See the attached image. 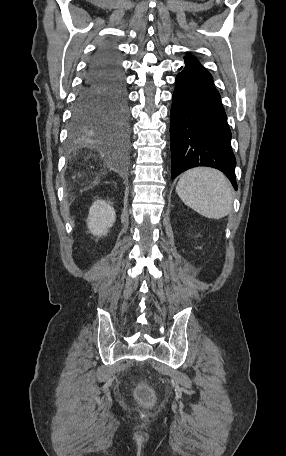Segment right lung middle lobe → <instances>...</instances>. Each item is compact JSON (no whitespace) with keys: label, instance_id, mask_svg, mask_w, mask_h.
Wrapping results in <instances>:
<instances>
[{"label":"right lung middle lobe","instance_id":"right-lung-middle-lobe-1","mask_svg":"<svg viewBox=\"0 0 286 456\" xmlns=\"http://www.w3.org/2000/svg\"><path fill=\"white\" fill-rule=\"evenodd\" d=\"M111 128L120 134L123 133L125 130H128L125 136L122 135V139L124 141L127 140L128 135H129V129H128L127 125L117 124ZM108 130H109V127H103V126H98V125L94 124V125H91L89 128L80 131V133H85V132H89V131H108Z\"/></svg>","mask_w":286,"mask_h":456}]
</instances>
